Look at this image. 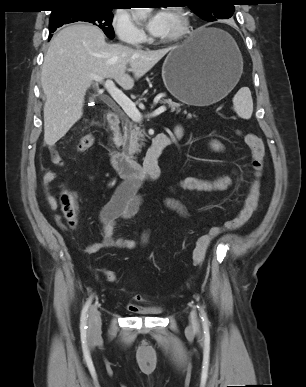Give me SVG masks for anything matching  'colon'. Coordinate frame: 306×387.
<instances>
[{
	"mask_svg": "<svg viewBox=\"0 0 306 387\" xmlns=\"http://www.w3.org/2000/svg\"><path fill=\"white\" fill-rule=\"evenodd\" d=\"M244 143L251 151V168L253 170V181L250 191L245 199L244 206L239 214L223 226L213 228L209 233L200 236L195 243L192 260L195 266H201L205 260L207 251L213 240L227 231H233L243 227L256 211L260 199L261 179L264 171L265 147L262 139L254 133H241ZM95 144L92 134L83 136L77 149L84 152ZM60 207L63 215L72 227H75L78 220V204L76 194L71 190H64L60 194ZM105 279L111 283H119L120 278L113 271H103Z\"/></svg>",
	"mask_w": 306,
	"mask_h": 387,
	"instance_id": "colon-1",
	"label": "colon"
}]
</instances>
